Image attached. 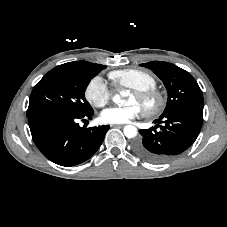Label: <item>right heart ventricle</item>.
Segmentation results:
<instances>
[{
  "label": "right heart ventricle",
  "mask_w": 227,
  "mask_h": 227,
  "mask_svg": "<svg viewBox=\"0 0 227 227\" xmlns=\"http://www.w3.org/2000/svg\"><path fill=\"white\" fill-rule=\"evenodd\" d=\"M109 78L117 87L131 90H148L156 88L157 82L153 75L139 69H121L109 73Z\"/></svg>",
  "instance_id": "obj_1"
}]
</instances>
